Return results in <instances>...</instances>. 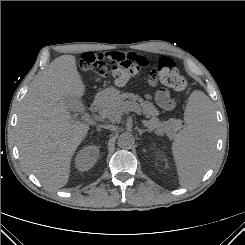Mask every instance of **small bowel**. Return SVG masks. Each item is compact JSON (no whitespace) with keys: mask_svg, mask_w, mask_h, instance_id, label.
<instances>
[{"mask_svg":"<svg viewBox=\"0 0 245 245\" xmlns=\"http://www.w3.org/2000/svg\"><path fill=\"white\" fill-rule=\"evenodd\" d=\"M100 55L106 60H114V61L119 60L124 55H130L136 58L137 60H139L142 66L148 65L147 58L140 55H136L134 53L124 54L120 52H107V53H101ZM154 98L157 104L165 110H172L175 107V101L171 98L169 92L165 89L158 90L155 93Z\"/></svg>","mask_w":245,"mask_h":245,"instance_id":"obj_1","label":"small bowel"}]
</instances>
